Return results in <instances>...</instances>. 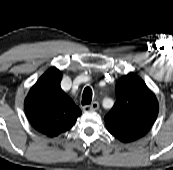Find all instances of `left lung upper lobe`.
Instances as JSON below:
<instances>
[{
	"instance_id": "1",
	"label": "left lung upper lobe",
	"mask_w": 173,
	"mask_h": 170,
	"mask_svg": "<svg viewBox=\"0 0 173 170\" xmlns=\"http://www.w3.org/2000/svg\"><path fill=\"white\" fill-rule=\"evenodd\" d=\"M117 101L105 116L107 130L122 142L143 137L158 115V101L145 82L134 73L116 85Z\"/></svg>"
}]
</instances>
